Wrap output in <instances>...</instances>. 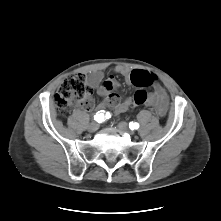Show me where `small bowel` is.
<instances>
[{
    "mask_svg": "<svg viewBox=\"0 0 221 221\" xmlns=\"http://www.w3.org/2000/svg\"><path fill=\"white\" fill-rule=\"evenodd\" d=\"M134 70H130L124 66H117L115 72L121 74L126 79L134 84L131 80V74ZM150 74L144 70H138ZM88 84L91 88H97L100 94L104 95V100L99 104V109L113 108L117 114L126 112L135 103L131 98H121L116 89L119 86L118 81L111 76L107 80L103 81V74L100 71L92 72L88 78ZM136 85V84H134ZM169 98L162 86L159 84H153V90L148 96L146 106L153 108L159 116H164L168 109Z\"/></svg>",
    "mask_w": 221,
    "mask_h": 221,
    "instance_id": "obj_1",
    "label": "small bowel"
}]
</instances>
